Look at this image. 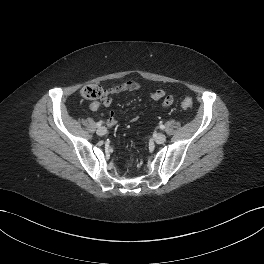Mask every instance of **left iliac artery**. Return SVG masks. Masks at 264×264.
<instances>
[{
	"mask_svg": "<svg viewBox=\"0 0 264 264\" xmlns=\"http://www.w3.org/2000/svg\"><path fill=\"white\" fill-rule=\"evenodd\" d=\"M160 128H161V129H164V128H165V126L161 124V125H160Z\"/></svg>",
	"mask_w": 264,
	"mask_h": 264,
	"instance_id": "44dca946",
	"label": "left iliac artery"
}]
</instances>
